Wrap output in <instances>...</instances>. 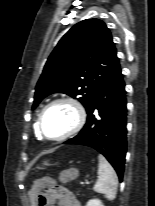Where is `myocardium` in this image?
Instances as JSON below:
<instances>
[{"instance_id":"f54148a6","label":"myocardium","mask_w":155,"mask_h":206,"mask_svg":"<svg viewBox=\"0 0 155 206\" xmlns=\"http://www.w3.org/2000/svg\"><path fill=\"white\" fill-rule=\"evenodd\" d=\"M58 105L69 106L74 112L75 121H74L73 126L67 132L62 134L61 136L48 137L43 133V130H42L43 118H44L45 114L51 108L58 106ZM86 119H87L86 109L80 100H78L77 98L72 97V96L60 97V98H57V99L51 101L50 103H48L41 111V113L38 117V121H37V127H36L37 134L40 138L46 139L49 141H54V142L64 141V140L76 135L77 133H79L80 130L85 125Z\"/></svg>"}]
</instances>
